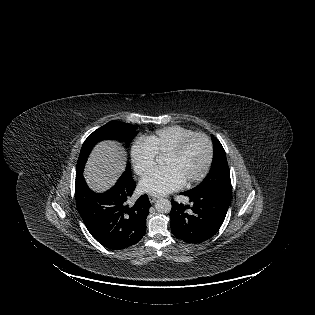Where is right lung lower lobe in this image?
<instances>
[{"instance_id": "obj_1", "label": "right lung lower lobe", "mask_w": 315, "mask_h": 315, "mask_svg": "<svg viewBox=\"0 0 315 315\" xmlns=\"http://www.w3.org/2000/svg\"><path fill=\"white\" fill-rule=\"evenodd\" d=\"M82 172L76 171V206L90 234L112 250L139 242L146 231L150 202L142 195L134 204L129 203L136 187L131 174L124 172L110 190L95 193L86 185Z\"/></svg>"}]
</instances>
